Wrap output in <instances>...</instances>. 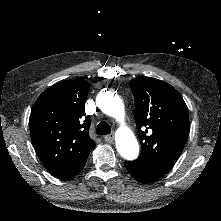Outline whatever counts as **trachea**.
<instances>
[{
	"label": "trachea",
	"mask_w": 221,
	"mask_h": 221,
	"mask_svg": "<svg viewBox=\"0 0 221 221\" xmlns=\"http://www.w3.org/2000/svg\"><path fill=\"white\" fill-rule=\"evenodd\" d=\"M111 132V127L109 125V123H107L106 121H101L96 128V134L98 135H107L110 134Z\"/></svg>",
	"instance_id": "1"
}]
</instances>
